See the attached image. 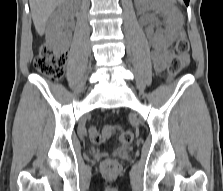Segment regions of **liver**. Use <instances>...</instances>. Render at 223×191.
<instances>
[{
  "label": "liver",
  "instance_id": "liver-1",
  "mask_svg": "<svg viewBox=\"0 0 223 191\" xmlns=\"http://www.w3.org/2000/svg\"><path fill=\"white\" fill-rule=\"evenodd\" d=\"M65 0H30V9L32 13L33 23L39 35H43L48 18L54 9L61 5Z\"/></svg>",
  "mask_w": 223,
  "mask_h": 191
}]
</instances>
